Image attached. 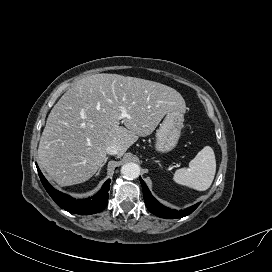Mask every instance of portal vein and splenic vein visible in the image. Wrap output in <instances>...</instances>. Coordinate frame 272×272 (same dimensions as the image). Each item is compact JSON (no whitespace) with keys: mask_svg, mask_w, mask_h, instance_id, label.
Masks as SVG:
<instances>
[{"mask_svg":"<svg viewBox=\"0 0 272 272\" xmlns=\"http://www.w3.org/2000/svg\"><path fill=\"white\" fill-rule=\"evenodd\" d=\"M120 109H121V112L119 115V120L128 117V113H127L126 108L124 106H121Z\"/></svg>","mask_w":272,"mask_h":272,"instance_id":"portal-vein-and-splenic-vein-1","label":"portal vein and splenic vein"}]
</instances>
